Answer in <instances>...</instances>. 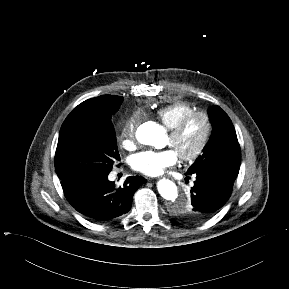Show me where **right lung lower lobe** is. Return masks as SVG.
Returning a JSON list of instances; mask_svg holds the SVG:
<instances>
[{
	"instance_id": "obj_1",
	"label": "right lung lower lobe",
	"mask_w": 289,
	"mask_h": 289,
	"mask_svg": "<svg viewBox=\"0 0 289 289\" xmlns=\"http://www.w3.org/2000/svg\"><path fill=\"white\" fill-rule=\"evenodd\" d=\"M108 174L61 179L69 203L94 222H106L126 214L131 208L134 193L146 182L141 176H130L123 187H116L108 180Z\"/></svg>"
}]
</instances>
